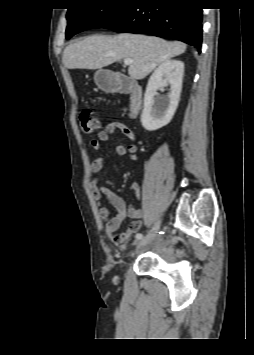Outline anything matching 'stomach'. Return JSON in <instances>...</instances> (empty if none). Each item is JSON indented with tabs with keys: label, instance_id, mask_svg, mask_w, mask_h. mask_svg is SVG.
<instances>
[{
	"label": "stomach",
	"instance_id": "0dacf381",
	"mask_svg": "<svg viewBox=\"0 0 254 355\" xmlns=\"http://www.w3.org/2000/svg\"><path fill=\"white\" fill-rule=\"evenodd\" d=\"M101 71H97L96 73H95V76H94V78H95V81H96V83H97V85L98 86H100V87H102V88H105L106 86H107V82L106 81H103L102 79H101Z\"/></svg>",
	"mask_w": 254,
	"mask_h": 355
}]
</instances>
